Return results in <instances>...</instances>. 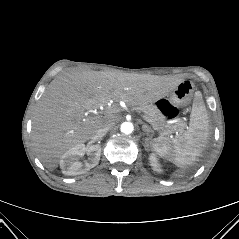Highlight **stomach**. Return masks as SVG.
<instances>
[{"mask_svg": "<svg viewBox=\"0 0 239 239\" xmlns=\"http://www.w3.org/2000/svg\"><path fill=\"white\" fill-rule=\"evenodd\" d=\"M194 91V84L189 80H182L171 90L169 98L162 97L155 101L156 105L169 118H176L179 108L188 104ZM173 109L177 111L171 112Z\"/></svg>", "mask_w": 239, "mask_h": 239, "instance_id": "obj_1", "label": "stomach"}]
</instances>
